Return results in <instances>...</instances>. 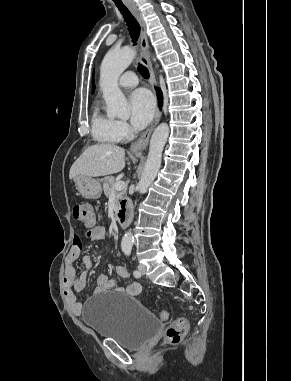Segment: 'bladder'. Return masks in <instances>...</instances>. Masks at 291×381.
Wrapping results in <instances>:
<instances>
[{
    "label": "bladder",
    "instance_id": "1",
    "mask_svg": "<svg viewBox=\"0 0 291 381\" xmlns=\"http://www.w3.org/2000/svg\"><path fill=\"white\" fill-rule=\"evenodd\" d=\"M82 319L99 337L132 350L143 348L160 327L156 317L131 295H98L88 302Z\"/></svg>",
    "mask_w": 291,
    "mask_h": 381
}]
</instances>
